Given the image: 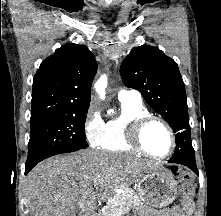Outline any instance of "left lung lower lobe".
<instances>
[{"mask_svg": "<svg viewBox=\"0 0 221 216\" xmlns=\"http://www.w3.org/2000/svg\"><path fill=\"white\" fill-rule=\"evenodd\" d=\"M169 162L185 165L198 174L194 150L186 146H176L175 152Z\"/></svg>", "mask_w": 221, "mask_h": 216, "instance_id": "0a47b994", "label": "left lung lower lobe"}]
</instances>
